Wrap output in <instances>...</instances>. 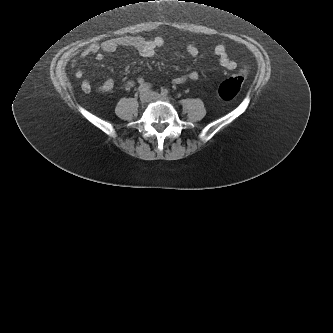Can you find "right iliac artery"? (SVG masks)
<instances>
[{
	"instance_id": "right-iliac-artery-1",
	"label": "right iliac artery",
	"mask_w": 333,
	"mask_h": 333,
	"mask_svg": "<svg viewBox=\"0 0 333 333\" xmlns=\"http://www.w3.org/2000/svg\"><path fill=\"white\" fill-rule=\"evenodd\" d=\"M149 88H150V85H147V84L146 85H140L138 87V92L141 94V93L149 90Z\"/></svg>"
}]
</instances>
